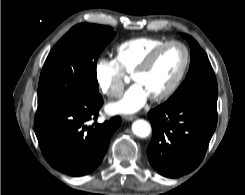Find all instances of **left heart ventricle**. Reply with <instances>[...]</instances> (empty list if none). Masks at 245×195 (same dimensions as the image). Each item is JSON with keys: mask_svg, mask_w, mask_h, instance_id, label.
I'll return each mask as SVG.
<instances>
[{"mask_svg": "<svg viewBox=\"0 0 245 195\" xmlns=\"http://www.w3.org/2000/svg\"><path fill=\"white\" fill-rule=\"evenodd\" d=\"M184 60V52L179 46L164 49L152 66L133 80L154 96L164 91L179 73Z\"/></svg>", "mask_w": 245, "mask_h": 195, "instance_id": "1", "label": "left heart ventricle"}]
</instances>
